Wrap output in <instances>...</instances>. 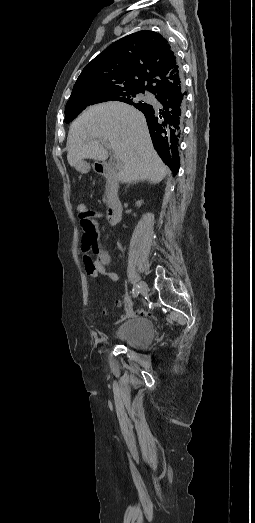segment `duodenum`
<instances>
[{
    "label": "duodenum",
    "mask_w": 255,
    "mask_h": 523,
    "mask_svg": "<svg viewBox=\"0 0 255 523\" xmlns=\"http://www.w3.org/2000/svg\"><path fill=\"white\" fill-rule=\"evenodd\" d=\"M95 170L104 176L108 183V206L107 220L110 225H117L122 217V203L118 197V176L117 168L114 163L96 161Z\"/></svg>",
    "instance_id": "410a0bca"
}]
</instances>
